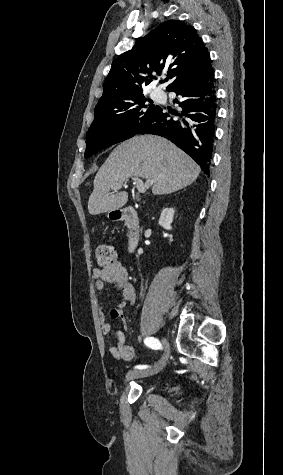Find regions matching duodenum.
<instances>
[{"label": "duodenum", "instance_id": "obj_1", "mask_svg": "<svg viewBox=\"0 0 283 475\" xmlns=\"http://www.w3.org/2000/svg\"><path fill=\"white\" fill-rule=\"evenodd\" d=\"M115 221H121L127 228V250L132 253L140 242L141 230L138 212L132 207L122 208L113 215Z\"/></svg>", "mask_w": 283, "mask_h": 475}]
</instances>
